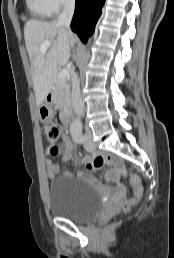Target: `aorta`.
<instances>
[{
    "label": "aorta",
    "mask_w": 174,
    "mask_h": 258,
    "mask_svg": "<svg viewBox=\"0 0 174 258\" xmlns=\"http://www.w3.org/2000/svg\"><path fill=\"white\" fill-rule=\"evenodd\" d=\"M70 127L73 128V129H76V130H81V128H82V123H81L80 119H79V118H75V119L72 121Z\"/></svg>",
    "instance_id": "obj_1"
}]
</instances>
